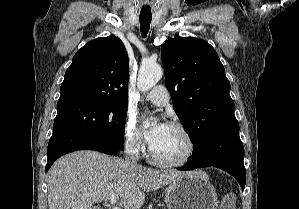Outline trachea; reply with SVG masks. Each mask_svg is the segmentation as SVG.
Wrapping results in <instances>:
<instances>
[{"label":"trachea","mask_w":299,"mask_h":209,"mask_svg":"<svg viewBox=\"0 0 299 209\" xmlns=\"http://www.w3.org/2000/svg\"><path fill=\"white\" fill-rule=\"evenodd\" d=\"M140 29L143 37H146L150 28L152 17L140 16Z\"/></svg>","instance_id":"3493384b"}]
</instances>
